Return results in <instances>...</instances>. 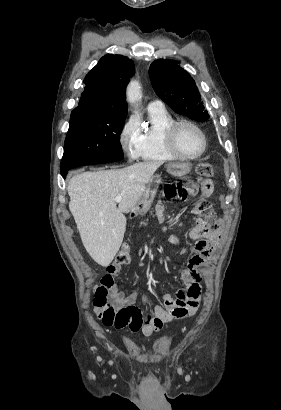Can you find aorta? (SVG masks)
I'll list each match as a JSON object with an SVG mask.
<instances>
[{
	"instance_id": "762f6f07",
	"label": "aorta",
	"mask_w": 281,
	"mask_h": 410,
	"mask_svg": "<svg viewBox=\"0 0 281 410\" xmlns=\"http://www.w3.org/2000/svg\"><path fill=\"white\" fill-rule=\"evenodd\" d=\"M142 98L141 86L137 80H132L127 86V101L135 106Z\"/></svg>"
}]
</instances>
